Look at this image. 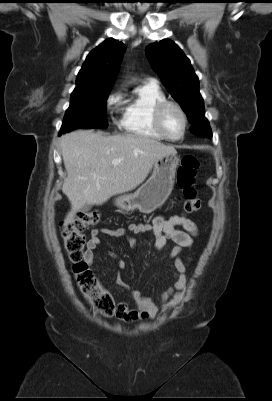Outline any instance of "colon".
Here are the masks:
<instances>
[{"label": "colon", "instance_id": "colon-1", "mask_svg": "<svg viewBox=\"0 0 272 401\" xmlns=\"http://www.w3.org/2000/svg\"><path fill=\"white\" fill-rule=\"evenodd\" d=\"M198 166L199 160L196 156L186 155L177 170V184L184 192V210L188 213L197 212L201 208V200L195 188ZM100 220L101 215L97 211L79 212L75 219L63 224L64 246L69 259L74 263L76 281L84 296L101 314L118 316L121 311L119 304L117 305L112 294L100 285L83 260L86 243L84 232L96 226Z\"/></svg>", "mask_w": 272, "mask_h": 401}]
</instances>
